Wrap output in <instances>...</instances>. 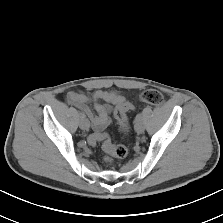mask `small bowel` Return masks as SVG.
Instances as JSON below:
<instances>
[{
	"label": "small bowel",
	"mask_w": 223,
	"mask_h": 223,
	"mask_svg": "<svg viewBox=\"0 0 223 223\" xmlns=\"http://www.w3.org/2000/svg\"><path fill=\"white\" fill-rule=\"evenodd\" d=\"M66 98L69 104L81 109L89 117L95 131H102L110 125L111 104L121 105L125 101L123 95L114 90H97L91 95L71 91ZM100 100H104L109 104H100ZM89 103L94 104V111L88 106Z\"/></svg>",
	"instance_id": "1"
}]
</instances>
